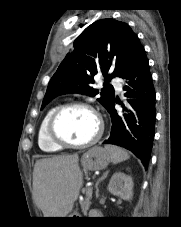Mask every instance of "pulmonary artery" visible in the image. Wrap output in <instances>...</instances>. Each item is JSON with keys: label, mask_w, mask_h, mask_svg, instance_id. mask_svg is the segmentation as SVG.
Masks as SVG:
<instances>
[{"label": "pulmonary artery", "mask_w": 181, "mask_h": 227, "mask_svg": "<svg viewBox=\"0 0 181 227\" xmlns=\"http://www.w3.org/2000/svg\"><path fill=\"white\" fill-rule=\"evenodd\" d=\"M112 83L115 85L117 91H121V85H120L118 79L114 78L112 80Z\"/></svg>", "instance_id": "pulmonary-artery-1"}]
</instances>
